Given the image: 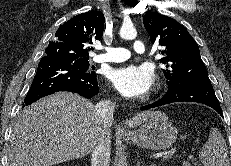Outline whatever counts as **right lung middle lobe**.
Here are the masks:
<instances>
[{
    "label": "right lung middle lobe",
    "instance_id": "right-lung-middle-lobe-1",
    "mask_svg": "<svg viewBox=\"0 0 231 166\" xmlns=\"http://www.w3.org/2000/svg\"><path fill=\"white\" fill-rule=\"evenodd\" d=\"M60 61L72 64L79 70L83 72H88L89 62L88 59H70V58H61Z\"/></svg>",
    "mask_w": 231,
    "mask_h": 166
}]
</instances>
